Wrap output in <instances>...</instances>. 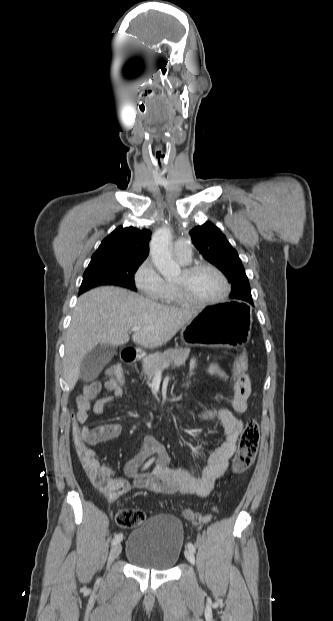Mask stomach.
Instances as JSON below:
<instances>
[{"instance_id": "1", "label": "stomach", "mask_w": 333, "mask_h": 621, "mask_svg": "<svg viewBox=\"0 0 333 621\" xmlns=\"http://www.w3.org/2000/svg\"><path fill=\"white\" fill-rule=\"evenodd\" d=\"M250 320V308L240 303L225 302L207 306L182 328L181 338L188 344L209 342L233 354H241L247 345L246 334Z\"/></svg>"}]
</instances>
